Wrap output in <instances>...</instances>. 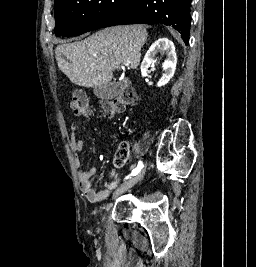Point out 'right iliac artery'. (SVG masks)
<instances>
[{
    "instance_id": "obj_1",
    "label": "right iliac artery",
    "mask_w": 256,
    "mask_h": 267,
    "mask_svg": "<svg viewBox=\"0 0 256 267\" xmlns=\"http://www.w3.org/2000/svg\"><path fill=\"white\" fill-rule=\"evenodd\" d=\"M143 166L144 165L142 161H139L137 167L132 171V173L129 176L126 177V179L131 178V176H136L140 172V170L143 168Z\"/></svg>"
}]
</instances>
